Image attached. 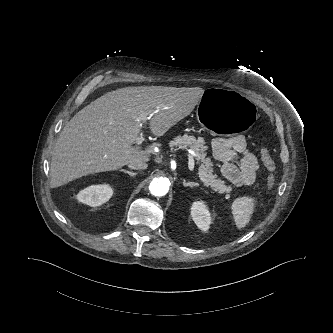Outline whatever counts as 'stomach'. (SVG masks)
<instances>
[{
	"instance_id": "1",
	"label": "stomach",
	"mask_w": 333,
	"mask_h": 333,
	"mask_svg": "<svg viewBox=\"0 0 333 333\" xmlns=\"http://www.w3.org/2000/svg\"><path fill=\"white\" fill-rule=\"evenodd\" d=\"M196 115L208 132L224 136L250 128L256 119L257 108L252 99L243 93L213 88L199 99Z\"/></svg>"
}]
</instances>
